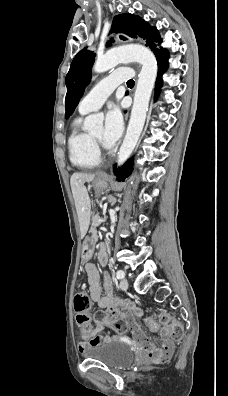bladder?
<instances>
[{"label": "bladder", "mask_w": 228, "mask_h": 396, "mask_svg": "<svg viewBox=\"0 0 228 396\" xmlns=\"http://www.w3.org/2000/svg\"><path fill=\"white\" fill-rule=\"evenodd\" d=\"M83 357L102 362L111 368L127 367L134 359V353L124 342L109 340L86 347L81 351Z\"/></svg>", "instance_id": "31cf9c89"}]
</instances>
